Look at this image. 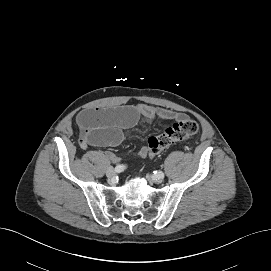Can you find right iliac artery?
Instances as JSON below:
<instances>
[{"instance_id": "obj_1", "label": "right iliac artery", "mask_w": 271, "mask_h": 271, "mask_svg": "<svg viewBox=\"0 0 271 271\" xmlns=\"http://www.w3.org/2000/svg\"><path fill=\"white\" fill-rule=\"evenodd\" d=\"M125 168H126L125 165H117V166L115 167V171H116L117 173H120V172L124 171Z\"/></svg>"}]
</instances>
